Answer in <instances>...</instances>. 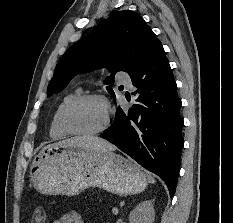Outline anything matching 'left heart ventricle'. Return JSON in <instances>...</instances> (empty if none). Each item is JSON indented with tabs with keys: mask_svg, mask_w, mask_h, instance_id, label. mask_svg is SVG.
<instances>
[{
	"mask_svg": "<svg viewBox=\"0 0 233 223\" xmlns=\"http://www.w3.org/2000/svg\"><path fill=\"white\" fill-rule=\"evenodd\" d=\"M105 104L100 100H90L77 105L70 114L71 126L80 132H95L106 122Z\"/></svg>",
	"mask_w": 233,
	"mask_h": 223,
	"instance_id": "left-heart-ventricle-1",
	"label": "left heart ventricle"
}]
</instances>
